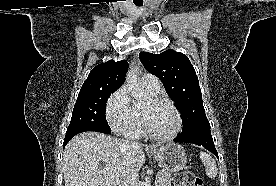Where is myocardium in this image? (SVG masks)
I'll return each mask as SVG.
<instances>
[{
	"instance_id": "obj_1",
	"label": "myocardium",
	"mask_w": 276,
	"mask_h": 186,
	"mask_svg": "<svg viewBox=\"0 0 276 186\" xmlns=\"http://www.w3.org/2000/svg\"><path fill=\"white\" fill-rule=\"evenodd\" d=\"M152 103L156 104V105H167L169 106L176 114L177 116V128L175 129L174 132H172L171 134L168 135H160V134H156L154 133L146 120L145 114L143 112H141V125H142V129L144 131V133L151 137L152 139H156V140H171L174 139L175 137H177L179 135V133L181 132L182 128H183V118L181 115V112L179 111V109L168 99L163 98V97H154L152 100Z\"/></svg>"
}]
</instances>
